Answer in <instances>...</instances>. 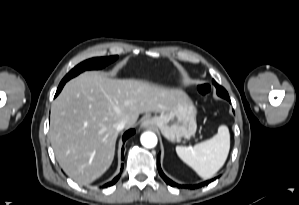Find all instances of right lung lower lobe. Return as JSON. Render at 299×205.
Here are the masks:
<instances>
[{"label": "right lung lower lobe", "instance_id": "1", "mask_svg": "<svg viewBox=\"0 0 299 205\" xmlns=\"http://www.w3.org/2000/svg\"><path fill=\"white\" fill-rule=\"evenodd\" d=\"M64 84H60L58 89H57V92H56V96L60 93V91L62 90ZM135 133V130L134 129H131V130H128L127 132H125V134L123 135V142L126 141V139L131 136L132 134ZM124 149V148H123ZM122 168H123V165H122ZM121 168V170H122ZM121 174H119L118 176H116L111 182L109 183H106L103 187H108V186H111L113 184H115L117 182V180L119 179Z\"/></svg>", "mask_w": 299, "mask_h": 205}]
</instances>
